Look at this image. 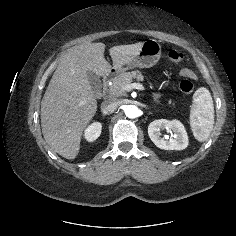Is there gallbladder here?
Segmentation results:
<instances>
[{
  "label": "gallbladder",
  "mask_w": 236,
  "mask_h": 236,
  "mask_svg": "<svg viewBox=\"0 0 236 236\" xmlns=\"http://www.w3.org/2000/svg\"><path fill=\"white\" fill-rule=\"evenodd\" d=\"M88 79H89V83L92 87V90L94 92H99V90L101 88V80H100L99 76H97L93 72H88Z\"/></svg>",
  "instance_id": "obj_1"
}]
</instances>
